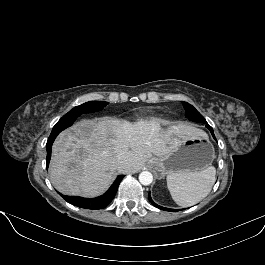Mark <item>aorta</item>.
I'll return each mask as SVG.
<instances>
[{"label": "aorta", "instance_id": "762f6f07", "mask_svg": "<svg viewBox=\"0 0 265 265\" xmlns=\"http://www.w3.org/2000/svg\"><path fill=\"white\" fill-rule=\"evenodd\" d=\"M139 181L142 185H150L153 181V175L148 171L139 174Z\"/></svg>", "mask_w": 265, "mask_h": 265}]
</instances>
